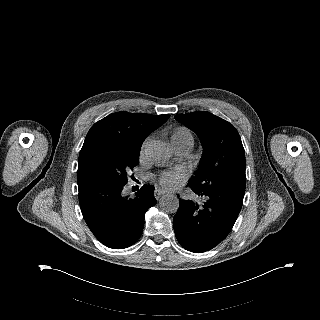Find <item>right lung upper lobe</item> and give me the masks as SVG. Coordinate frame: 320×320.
Wrapping results in <instances>:
<instances>
[{
    "mask_svg": "<svg viewBox=\"0 0 320 320\" xmlns=\"http://www.w3.org/2000/svg\"><path fill=\"white\" fill-rule=\"evenodd\" d=\"M169 115L116 112L95 123L89 130L79 155L78 179L87 176L84 163L100 148L141 147L145 138L164 124Z\"/></svg>",
    "mask_w": 320,
    "mask_h": 320,
    "instance_id": "1",
    "label": "right lung upper lobe"
}]
</instances>
